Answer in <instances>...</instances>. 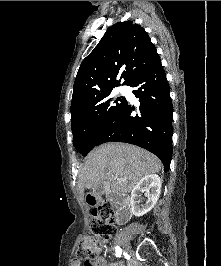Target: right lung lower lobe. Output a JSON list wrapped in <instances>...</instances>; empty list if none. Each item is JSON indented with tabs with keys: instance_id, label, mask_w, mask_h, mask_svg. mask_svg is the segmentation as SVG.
Instances as JSON below:
<instances>
[{
	"instance_id": "98d812e1",
	"label": "right lung lower lobe",
	"mask_w": 221,
	"mask_h": 266,
	"mask_svg": "<svg viewBox=\"0 0 221 266\" xmlns=\"http://www.w3.org/2000/svg\"><path fill=\"white\" fill-rule=\"evenodd\" d=\"M129 86L135 88L133 94L139 98L140 107L136 109L126 102L97 145L109 141L137 145L158 156L164 171H168L172 158L173 106L161 61L137 75Z\"/></svg>"
}]
</instances>
